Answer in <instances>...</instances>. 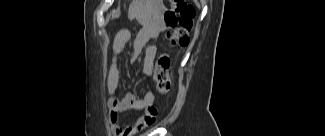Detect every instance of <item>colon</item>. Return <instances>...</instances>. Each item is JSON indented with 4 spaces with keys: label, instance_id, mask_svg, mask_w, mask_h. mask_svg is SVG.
<instances>
[{
    "label": "colon",
    "instance_id": "5ec220e1",
    "mask_svg": "<svg viewBox=\"0 0 325 136\" xmlns=\"http://www.w3.org/2000/svg\"><path fill=\"white\" fill-rule=\"evenodd\" d=\"M170 4L164 14L166 39L172 45L186 47L191 41L190 32L194 25L195 10L187 0H170ZM169 67L168 55L161 53L155 61L154 78L159 93L164 96L169 95L172 90Z\"/></svg>",
    "mask_w": 325,
    "mask_h": 136
}]
</instances>
